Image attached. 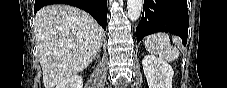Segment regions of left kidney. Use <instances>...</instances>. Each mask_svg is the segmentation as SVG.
<instances>
[{"instance_id": "5707ae66", "label": "left kidney", "mask_w": 227, "mask_h": 88, "mask_svg": "<svg viewBox=\"0 0 227 88\" xmlns=\"http://www.w3.org/2000/svg\"><path fill=\"white\" fill-rule=\"evenodd\" d=\"M142 65L149 88H172L174 71L166 61L145 55Z\"/></svg>"}]
</instances>
